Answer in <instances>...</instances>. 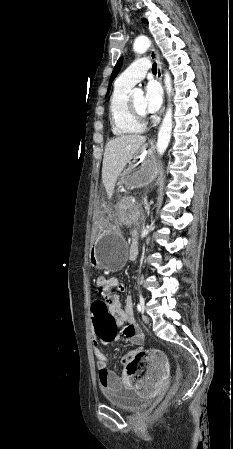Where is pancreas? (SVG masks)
Segmentation results:
<instances>
[{"label":"pancreas","mask_w":233,"mask_h":449,"mask_svg":"<svg viewBox=\"0 0 233 449\" xmlns=\"http://www.w3.org/2000/svg\"><path fill=\"white\" fill-rule=\"evenodd\" d=\"M127 207L129 209L128 217L130 221L135 222L136 220H141L143 217V212L138 208L137 205L131 202V198H126Z\"/></svg>","instance_id":"pancreas-1"}]
</instances>
